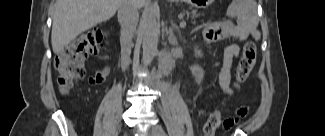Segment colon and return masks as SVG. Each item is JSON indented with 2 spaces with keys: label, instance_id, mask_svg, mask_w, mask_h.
<instances>
[{
  "label": "colon",
  "instance_id": "colon-1",
  "mask_svg": "<svg viewBox=\"0 0 325 136\" xmlns=\"http://www.w3.org/2000/svg\"><path fill=\"white\" fill-rule=\"evenodd\" d=\"M104 34L101 31L84 33L66 45L55 58V68L58 73V87L61 92L67 93L85 75V60L95 55L103 46ZM256 59V46L252 41H247L242 50L236 71L238 87L249 76ZM221 123V112L214 110L208 117L204 127V136H214Z\"/></svg>",
  "mask_w": 325,
  "mask_h": 136
}]
</instances>
